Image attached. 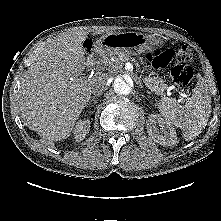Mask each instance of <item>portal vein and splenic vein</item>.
I'll return each instance as SVG.
<instances>
[{
	"label": "portal vein and splenic vein",
	"mask_w": 221,
	"mask_h": 221,
	"mask_svg": "<svg viewBox=\"0 0 221 221\" xmlns=\"http://www.w3.org/2000/svg\"><path fill=\"white\" fill-rule=\"evenodd\" d=\"M173 87H169L168 90H173ZM181 96L183 97V94H181Z\"/></svg>",
	"instance_id": "1"
}]
</instances>
